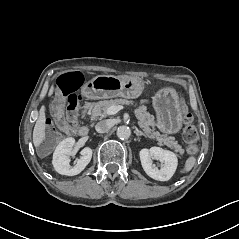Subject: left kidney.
Masks as SVG:
<instances>
[{"instance_id": "left-kidney-1", "label": "left kidney", "mask_w": 239, "mask_h": 239, "mask_svg": "<svg viewBox=\"0 0 239 239\" xmlns=\"http://www.w3.org/2000/svg\"><path fill=\"white\" fill-rule=\"evenodd\" d=\"M142 167L146 174L159 181L169 180L176 171L178 160L175 153L160 147L142 149L139 153ZM153 160L160 161V169L153 164Z\"/></svg>"}]
</instances>
